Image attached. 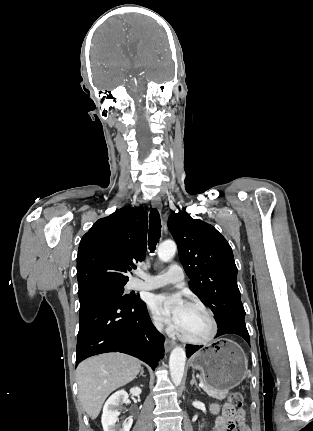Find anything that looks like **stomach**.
Instances as JSON below:
<instances>
[{"mask_svg": "<svg viewBox=\"0 0 313 431\" xmlns=\"http://www.w3.org/2000/svg\"><path fill=\"white\" fill-rule=\"evenodd\" d=\"M201 372L203 382L216 390H230L246 377L248 362L242 348L229 339H218L196 352L190 359Z\"/></svg>", "mask_w": 313, "mask_h": 431, "instance_id": "1", "label": "stomach"}]
</instances>
